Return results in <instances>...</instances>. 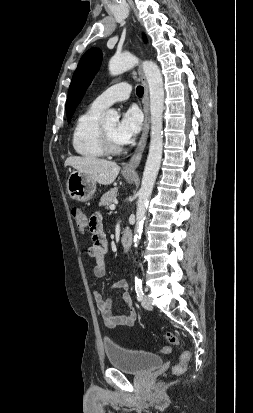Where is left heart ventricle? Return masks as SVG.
<instances>
[{
  "mask_svg": "<svg viewBox=\"0 0 253 413\" xmlns=\"http://www.w3.org/2000/svg\"><path fill=\"white\" fill-rule=\"evenodd\" d=\"M103 126H104L106 132L108 133V135L110 136L111 140L114 143L120 145V143L117 141L116 136H115V130H116L117 122H115V121L105 122L103 124Z\"/></svg>",
  "mask_w": 253,
  "mask_h": 413,
  "instance_id": "obj_1",
  "label": "left heart ventricle"
}]
</instances>
